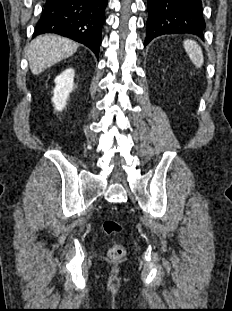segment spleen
<instances>
[{
	"instance_id": "1",
	"label": "spleen",
	"mask_w": 232,
	"mask_h": 311,
	"mask_svg": "<svg viewBox=\"0 0 232 311\" xmlns=\"http://www.w3.org/2000/svg\"><path fill=\"white\" fill-rule=\"evenodd\" d=\"M183 45L191 61L197 68H200L204 62L201 47L195 41L189 39L185 40Z\"/></svg>"
}]
</instances>
